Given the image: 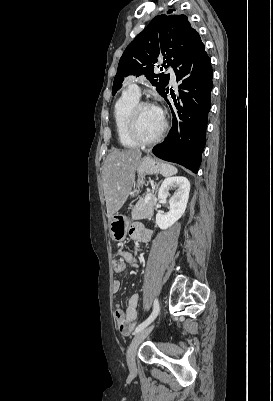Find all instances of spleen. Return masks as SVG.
I'll use <instances>...</instances> for the list:
<instances>
[{"mask_svg": "<svg viewBox=\"0 0 273 401\" xmlns=\"http://www.w3.org/2000/svg\"><path fill=\"white\" fill-rule=\"evenodd\" d=\"M161 172L163 176H171V174H176L177 168L173 164H168V162H162Z\"/></svg>", "mask_w": 273, "mask_h": 401, "instance_id": "spleen-1", "label": "spleen"}]
</instances>
